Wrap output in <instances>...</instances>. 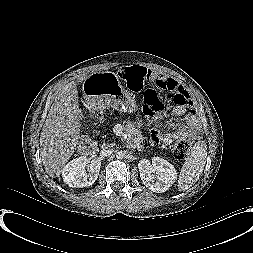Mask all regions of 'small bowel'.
Returning <instances> with one entry per match:
<instances>
[{"label":"small bowel","instance_id":"c3829d8e","mask_svg":"<svg viewBox=\"0 0 253 253\" xmlns=\"http://www.w3.org/2000/svg\"><path fill=\"white\" fill-rule=\"evenodd\" d=\"M153 73L162 77L165 81H167V83L170 86H172L174 88L180 87L178 82L176 80H174L173 78H170L168 76L162 75L157 72H153ZM184 91L187 93L186 90H184ZM188 96H189V94H188ZM184 113H185L184 109L182 107H178L173 111L172 118L174 120H179L184 115ZM161 121H162L161 117L156 118L154 120L155 128L152 133V139L154 142L159 143V144H163V145L171 144L175 139H177L179 136H182L184 134H192L191 131L197 129L199 126V120H198L197 116L194 113H190V114L186 115V124L184 126H182L178 132L162 134L158 130V127L160 126Z\"/></svg>","mask_w":253,"mask_h":253}]
</instances>
